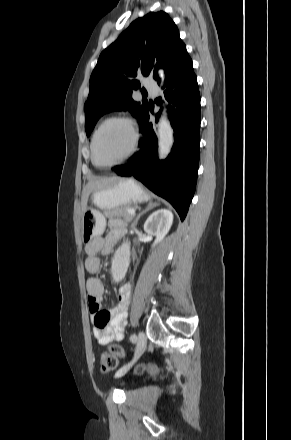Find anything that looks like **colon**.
<instances>
[{
    "label": "colon",
    "mask_w": 291,
    "mask_h": 440,
    "mask_svg": "<svg viewBox=\"0 0 291 440\" xmlns=\"http://www.w3.org/2000/svg\"><path fill=\"white\" fill-rule=\"evenodd\" d=\"M109 318L104 317L100 320L102 325H107L109 323ZM125 355V351L117 343L111 344L109 349L105 351L100 358V366L101 370L104 372L113 371L116 367L117 358L123 357ZM141 370L140 366L137 365L134 367V372L137 373Z\"/></svg>",
    "instance_id": "1"
}]
</instances>
